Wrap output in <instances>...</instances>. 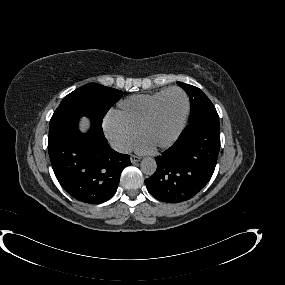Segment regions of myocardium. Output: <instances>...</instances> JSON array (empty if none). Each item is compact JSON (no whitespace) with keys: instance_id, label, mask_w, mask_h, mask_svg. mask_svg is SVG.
Here are the masks:
<instances>
[{"instance_id":"f54148a6","label":"myocardium","mask_w":285,"mask_h":285,"mask_svg":"<svg viewBox=\"0 0 285 285\" xmlns=\"http://www.w3.org/2000/svg\"><path fill=\"white\" fill-rule=\"evenodd\" d=\"M171 92H180L184 96L185 102H186L185 113H184L182 121H181V123L178 127V130H177L176 134L174 135V137L170 141L156 147V150H163V149H167V148L173 146L179 140V138H180L185 126H186L188 117H189L190 99H189L188 94L183 89H181L179 87L168 88L167 90H165L162 93V95L157 99V101L151 107L147 117L144 119V121L141 123V125L138 129V132H137L138 136L141 137L143 131L146 129V127L152 122V120L156 116V113H157L159 106L162 103L163 99Z\"/></svg>"}]
</instances>
